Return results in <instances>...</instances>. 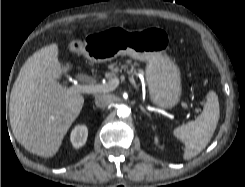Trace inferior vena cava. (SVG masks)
Here are the masks:
<instances>
[{
	"label": "inferior vena cava",
	"instance_id": "602c4592",
	"mask_svg": "<svg viewBox=\"0 0 245 187\" xmlns=\"http://www.w3.org/2000/svg\"><path fill=\"white\" fill-rule=\"evenodd\" d=\"M111 103V98L106 94H98L95 97V105L100 108L107 107Z\"/></svg>",
	"mask_w": 245,
	"mask_h": 187
}]
</instances>
